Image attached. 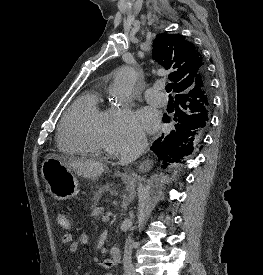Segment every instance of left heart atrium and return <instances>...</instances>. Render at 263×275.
<instances>
[{
  "label": "left heart atrium",
  "instance_id": "39dd6f15",
  "mask_svg": "<svg viewBox=\"0 0 263 275\" xmlns=\"http://www.w3.org/2000/svg\"><path fill=\"white\" fill-rule=\"evenodd\" d=\"M160 123L159 116L156 111L146 107L138 113V125L147 132H154L158 129Z\"/></svg>",
  "mask_w": 263,
  "mask_h": 275
}]
</instances>
